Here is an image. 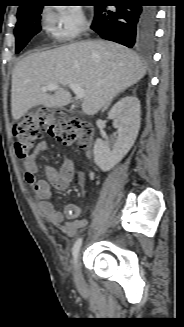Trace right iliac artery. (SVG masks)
<instances>
[{
	"mask_svg": "<svg viewBox=\"0 0 184 327\" xmlns=\"http://www.w3.org/2000/svg\"><path fill=\"white\" fill-rule=\"evenodd\" d=\"M82 245V238H78L74 244V247H73V258H74V263H76V260H77V256H78V252H79V249Z\"/></svg>",
	"mask_w": 184,
	"mask_h": 327,
	"instance_id": "1",
	"label": "right iliac artery"
}]
</instances>
